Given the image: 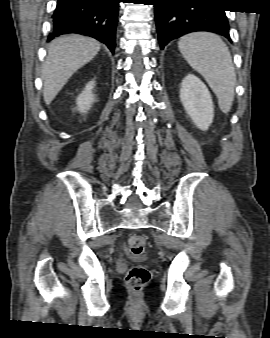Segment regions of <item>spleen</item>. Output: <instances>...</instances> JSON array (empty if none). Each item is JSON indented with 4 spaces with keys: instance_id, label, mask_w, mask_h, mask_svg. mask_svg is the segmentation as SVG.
<instances>
[{
    "instance_id": "3e777b00",
    "label": "spleen",
    "mask_w": 270,
    "mask_h": 338,
    "mask_svg": "<svg viewBox=\"0 0 270 338\" xmlns=\"http://www.w3.org/2000/svg\"><path fill=\"white\" fill-rule=\"evenodd\" d=\"M178 48L187 63L200 73L228 113L234 100L236 73L227 45L214 33L195 32L179 39Z\"/></svg>"
}]
</instances>
